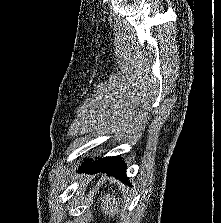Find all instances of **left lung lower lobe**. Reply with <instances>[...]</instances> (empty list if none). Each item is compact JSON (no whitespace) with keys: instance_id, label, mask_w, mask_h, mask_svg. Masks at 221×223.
Segmentation results:
<instances>
[{"instance_id":"0a47b994","label":"left lung lower lobe","mask_w":221,"mask_h":223,"mask_svg":"<svg viewBox=\"0 0 221 223\" xmlns=\"http://www.w3.org/2000/svg\"><path fill=\"white\" fill-rule=\"evenodd\" d=\"M79 171H86L92 174L103 172L108 176L119 178L123 181L128 180L126 176V165L119 157H106L92 162L85 160L79 167Z\"/></svg>"}]
</instances>
